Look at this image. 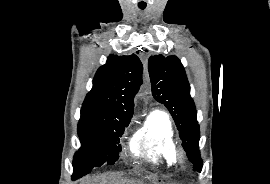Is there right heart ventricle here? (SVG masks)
<instances>
[{
	"instance_id": "1",
	"label": "right heart ventricle",
	"mask_w": 270,
	"mask_h": 184,
	"mask_svg": "<svg viewBox=\"0 0 270 184\" xmlns=\"http://www.w3.org/2000/svg\"><path fill=\"white\" fill-rule=\"evenodd\" d=\"M129 151L152 164L172 167L177 143L170 116L162 110L151 111L130 139Z\"/></svg>"
}]
</instances>
